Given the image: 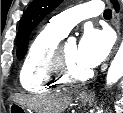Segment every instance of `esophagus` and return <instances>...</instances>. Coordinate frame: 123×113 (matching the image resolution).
Wrapping results in <instances>:
<instances>
[{"mask_svg":"<svg viewBox=\"0 0 123 113\" xmlns=\"http://www.w3.org/2000/svg\"><path fill=\"white\" fill-rule=\"evenodd\" d=\"M113 22H114V26L116 28L117 34H118V39H120V24H121V20H120V13L119 12H114L113 13ZM83 95L86 96H93L94 94L92 92H83Z\"/></svg>","mask_w":123,"mask_h":113,"instance_id":"34e87169","label":"esophagus"}]
</instances>
